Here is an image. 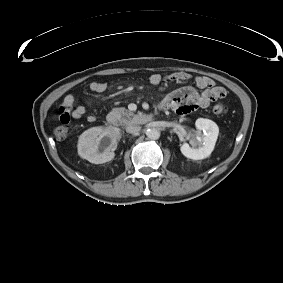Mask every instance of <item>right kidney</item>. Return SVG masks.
Listing matches in <instances>:
<instances>
[{"mask_svg": "<svg viewBox=\"0 0 283 283\" xmlns=\"http://www.w3.org/2000/svg\"><path fill=\"white\" fill-rule=\"evenodd\" d=\"M118 135L113 128L92 127L78 140V154L90 163L102 164L114 159Z\"/></svg>", "mask_w": 283, "mask_h": 283, "instance_id": "right-kidney-1", "label": "right kidney"}]
</instances>
